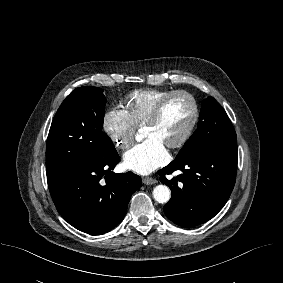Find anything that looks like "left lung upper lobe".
<instances>
[{"instance_id":"5c2ea615","label":"left lung upper lobe","mask_w":283,"mask_h":283,"mask_svg":"<svg viewBox=\"0 0 283 283\" xmlns=\"http://www.w3.org/2000/svg\"><path fill=\"white\" fill-rule=\"evenodd\" d=\"M236 142L233 125L219 103L208 97L203 100L198 127L175 159L200 148Z\"/></svg>"}]
</instances>
